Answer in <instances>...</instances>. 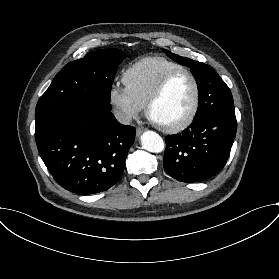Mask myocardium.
I'll return each instance as SVG.
<instances>
[{
  "instance_id": "1",
  "label": "myocardium",
  "mask_w": 279,
  "mask_h": 279,
  "mask_svg": "<svg viewBox=\"0 0 279 279\" xmlns=\"http://www.w3.org/2000/svg\"><path fill=\"white\" fill-rule=\"evenodd\" d=\"M182 74L188 75L194 84L195 95H194L192 107H191L190 111L187 113V115L182 120H180L174 124L160 123L152 117V108H153L154 104L160 99V97L167 90V88L169 87L171 82ZM200 101H201V89H200V84H199L197 78L190 70L181 69V70H177V71L167 74L160 81V83L157 85V87L152 91V93L149 96L148 101H147V114L151 119L156 121L163 130H165L166 132L175 133V132L184 130L185 128H187L188 126H190L192 124V122L194 121L195 117L198 114L199 107H200Z\"/></svg>"
}]
</instances>
